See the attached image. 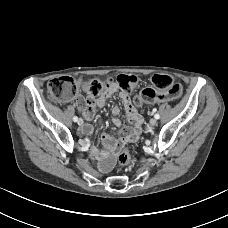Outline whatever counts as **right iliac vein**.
Segmentation results:
<instances>
[{"mask_svg": "<svg viewBox=\"0 0 228 228\" xmlns=\"http://www.w3.org/2000/svg\"><path fill=\"white\" fill-rule=\"evenodd\" d=\"M77 123H78V125H82V124H83V120H82V119H79V120L77 121Z\"/></svg>", "mask_w": 228, "mask_h": 228, "instance_id": "right-iliac-vein-1", "label": "right iliac vein"}]
</instances>
